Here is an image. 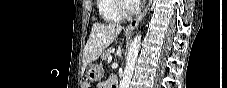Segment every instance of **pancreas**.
<instances>
[{
    "instance_id": "pancreas-1",
    "label": "pancreas",
    "mask_w": 227,
    "mask_h": 88,
    "mask_svg": "<svg viewBox=\"0 0 227 88\" xmlns=\"http://www.w3.org/2000/svg\"><path fill=\"white\" fill-rule=\"evenodd\" d=\"M111 52V49L105 50L101 55L102 60H107L108 57L111 56Z\"/></svg>"
}]
</instances>
